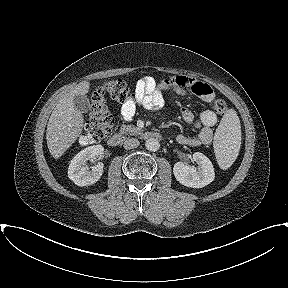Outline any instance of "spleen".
<instances>
[{
  "label": "spleen",
  "mask_w": 288,
  "mask_h": 288,
  "mask_svg": "<svg viewBox=\"0 0 288 288\" xmlns=\"http://www.w3.org/2000/svg\"><path fill=\"white\" fill-rule=\"evenodd\" d=\"M241 146L240 120L234 109L224 114L216 129L213 147L218 165L228 169L236 160Z\"/></svg>",
  "instance_id": "obj_1"
}]
</instances>
